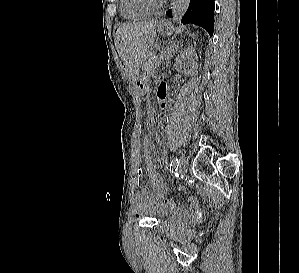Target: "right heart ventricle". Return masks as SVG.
Masks as SVG:
<instances>
[{
  "label": "right heart ventricle",
  "mask_w": 299,
  "mask_h": 273,
  "mask_svg": "<svg viewBox=\"0 0 299 273\" xmlns=\"http://www.w3.org/2000/svg\"><path fill=\"white\" fill-rule=\"evenodd\" d=\"M120 12L123 18L130 21H139L150 15L137 0H121Z\"/></svg>",
  "instance_id": "right-heart-ventricle-1"
}]
</instances>
